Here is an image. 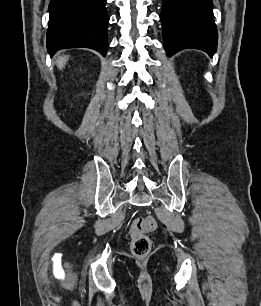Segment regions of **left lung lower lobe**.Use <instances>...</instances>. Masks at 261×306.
Segmentation results:
<instances>
[{"label":"left lung lower lobe","mask_w":261,"mask_h":306,"mask_svg":"<svg viewBox=\"0 0 261 306\" xmlns=\"http://www.w3.org/2000/svg\"><path fill=\"white\" fill-rule=\"evenodd\" d=\"M162 2L160 20L168 56L186 48L200 49L213 56L218 33L212 18V0Z\"/></svg>","instance_id":"left-lung-lower-lobe-1"}]
</instances>
